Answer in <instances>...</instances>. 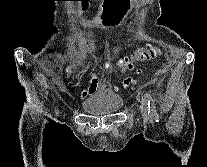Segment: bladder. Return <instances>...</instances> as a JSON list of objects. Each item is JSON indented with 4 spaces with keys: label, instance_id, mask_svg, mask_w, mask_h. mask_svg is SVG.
Wrapping results in <instances>:
<instances>
[{
    "label": "bladder",
    "instance_id": "1",
    "mask_svg": "<svg viewBox=\"0 0 207 167\" xmlns=\"http://www.w3.org/2000/svg\"><path fill=\"white\" fill-rule=\"evenodd\" d=\"M123 105L119 96L110 95L93 98L83 104V109L92 115H107L117 112Z\"/></svg>",
    "mask_w": 207,
    "mask_h": 167
}]
</instances>
